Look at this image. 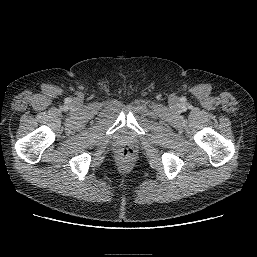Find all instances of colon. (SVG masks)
<instances>
[{"mask_svg": "<svg viewBox=\"0 0 257 257\" xmlns=\"http://www.w3.org/2000/svg\"><path fill=\"white\" fill-rule=\"evenodd\" d=\"M133 157V149L129 145H124L120 149V158L124 163L129 162Z\"/></svg>", "mask_w": 257, "mask_h": 257, "instance_id": "obj_1", "label": "colon"}]
</instances>
